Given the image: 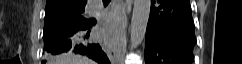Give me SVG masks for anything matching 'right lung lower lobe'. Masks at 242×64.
<instances>
[{
	"label": "right lung lower lobe",
	"mask_w": 242,
	"mask_h": 64,
	"mask_svg": "<svg viewBox=\"0 0 242 64\" xmlns=\"http://www.w3.org/2000/svg\"><path fill=\"white\" fill-rule=\"evenodd\" d=\"M95 24L96 21L87 27L73 28L49 38L44 44V57L71 51L86 55L99 64H110L101 46L93 41ZM45 62L46 60H43L42 64Z\"/></svg>",
	"instance_id": "obj_1"
}]
</instances>
